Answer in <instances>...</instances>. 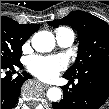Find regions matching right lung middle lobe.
I'll use <instances>...</instances> for the list:
<instances>
[{
    "label": "right lung middle lobe",
    "instance_id": "right-lung-middle-lobe-1",
    "mask_svg": "<svg viewBox=\"0 0 109 109\" xmlns=\"http://www.w3.org/2000/svg\"><path fill=\"white\" fill-rule=\"evenodd\" d=\"M27 40L15 27L1 24V66L16 65L22 54V45Z\"/></svg>",
    "mask_w": 109,
    "mask_h": 109
}]
</instances>
